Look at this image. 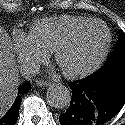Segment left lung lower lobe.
Returning <instances> with one entry per match:
<instances>
[{
    "mask_svg": "<svg viewBox=\"0 0 125 125\" xmlns=\"http://www.w3.org/2000/svg\"><path fill=\"white\" fill-rule=\"evenodd\" d=\"M68 110L61 125H104L125 104V63L102 67L94 74L71 82Z\"/></svg>",
    "mask_w": 125,
    "mask_h": 125,
    "instance_id": "left-lung-lower-lobe-1",
    "label": "left lung lower lobe"
}]
</instances>
